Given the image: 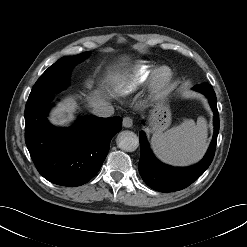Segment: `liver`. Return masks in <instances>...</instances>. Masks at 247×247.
<instances>
[{"mask_svg":"<svg viewBox=\"0 0 247 247\" xmlns=\"http://www.w3.org/2000/svg\"><path fill=\"white\" fill-rule=\"evenodd\" d=\"M110 79H114L115 77L110 75ZM70 103L72 104L74 102V99L69 98ZM107 103L101 99L97 93H95L93 96L89 97V105L95 109L96 107L99 106H104ZM73 115L71 113H68L67 115L61 111H54L51 116V122L54 125H66L70 121L73 120Z\"/></svg>","mask_w":247,"mask_h":247,"instance_id":"1","label":"liver"}]
</instances>
